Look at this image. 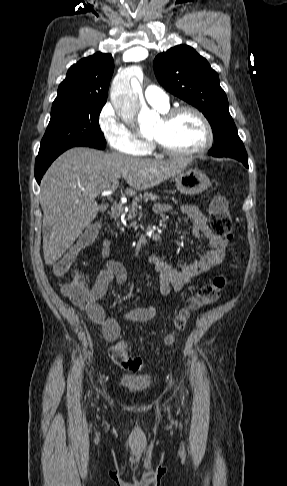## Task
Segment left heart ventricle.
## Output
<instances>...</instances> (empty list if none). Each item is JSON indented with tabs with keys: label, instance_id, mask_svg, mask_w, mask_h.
Instances as JSON below:
<instances>
[{
	"label": "left heart ventricle",
	"instance_id": "obj_1",
	"mask_svg": "<svg viewBox=\"0 0 287 486\" xmlns=\"http://www.w3.org/2000/svg\"><path fill=\"white\" fill-rule=\"evenodd\" d=\"M150 137L159 139L173 150L187 151L203 144L205 131L197 116L192 113H184L170 123H165L161 118Z\"/></svg>",
	"mask_w": 287,
	"mask_h": 486
}]
</instances>
